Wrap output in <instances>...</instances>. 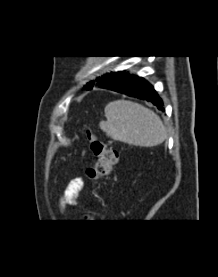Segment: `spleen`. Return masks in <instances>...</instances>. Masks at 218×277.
<instances>
[{"label":"spleen","mask_w":218,"mask_h":277,"mask_svg":"<svg viewBox=\"0 0 218 277\" xmlns=\"http://www.w3.org/2000/svg\"><path fill=\"white\" fill-rule=\"evenodd\" d=\"M106 121L99 126L107 136L129 145L153 147L166 139V129L160 117L143 105L127 101H112L105 107Z\"/></svg>","instance_id":"obj_1"}]
</instances>
